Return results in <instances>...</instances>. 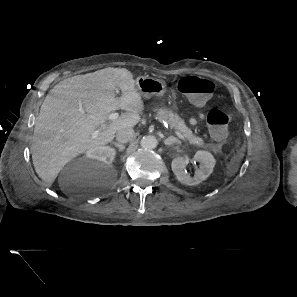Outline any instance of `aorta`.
Here are the masks:
<instances>
[{
    "label": "aorta",
    "instance_id": "762f6f07",
    "mask_svg": "<svg viewBox=\"0 0 297 297\" xmlns=\"http://www.w3.org/2000/svg\"><path fill=\"white\" fill-rule=\"evenodd\" d=\"M157 145H158V141L156 137L151 135L144 136L140 141V146L146 150L154 149L156 148Z\"/></svg>",
    "mask_w": 297,
    "mask_h": 297
}]
</instances>
